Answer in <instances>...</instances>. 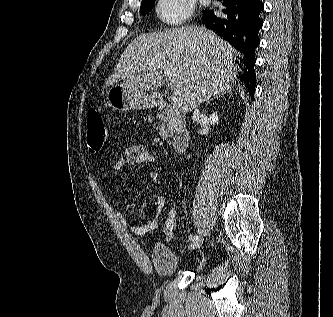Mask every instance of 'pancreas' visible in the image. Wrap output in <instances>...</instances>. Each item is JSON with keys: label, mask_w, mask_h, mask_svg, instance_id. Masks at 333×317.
Returning <instances> with one entry per match:
<instances>
[{"label": "pancreas", "mask_w": 333, "mask_h": 317, "mask_svg": "<svg viewBox=\"0 0 333 317\" xmlns=\"http://www.w3.org/2000/svg\"><path fill=\"white\" fill-rule=\"evenodd\" d=\"M157 117L162 122V125L159 128V133L163 139L172 137L175 129L181 126L184 122L182 115L171 108L163 113L158 114Z\"/></svg>", "instance_id": "cf45deb5"}]
</instances>
